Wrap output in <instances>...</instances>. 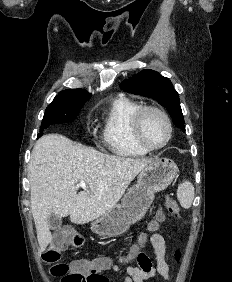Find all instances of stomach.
<instances>
[{"label": "stomach", "mask_w": 232, "mask_h": 282, "mask_svg": "<svg viewBox=\"0 0 232 282\" xmlns=\"http://www.w3.org/2000/svg\"><path fill=\"white\" fill-rule=\"evenodd\" d=\"M177 172V165L169 158L152 160L140 171L137 183L129 188L121 204L91 222V231L102 237L119 236L126 232L130 225L145 215L155 193L166 189Z\"/></svg>", "instance_id": "1"}]
</instances>
